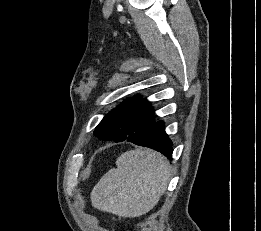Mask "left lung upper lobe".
<instances>
[{
	"label": "left lung upper lobe",
	"mask_w": 261,
	"mask_h": 231,
	"mask_svg": "<svg viewBox=\"0 0 261 231\" xmlns=\"http://www.w3.org/2000/svg\"><path fill=\"white\" fill-rule=\"evenodd\" d=\"M154 122L153 108L147 101L139 96L128 98L101 120L94 135L102 140L137 139L145 136Z\"/></svg>",
	"instance_id": "left-lung-upper-lobe-1"
}]
</instances>
